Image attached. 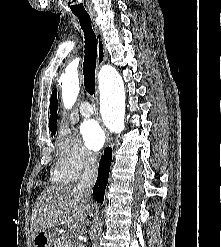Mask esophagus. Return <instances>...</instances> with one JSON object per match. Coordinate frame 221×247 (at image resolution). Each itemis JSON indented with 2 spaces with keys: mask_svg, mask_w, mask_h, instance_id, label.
I'll list each match as a JSON object with an SVG mask.
<instances>
[{
  "mask_svg": "<svg viewBox=\"0 0 221 247\" xmlns=\"http://www.w3.org/2000/svg\"><path fill=\"white\" fill-rule=\"evenodd\" d=\"M93 21H94V28H95L96 37H97V69H99L107 60V50H106V46L104 43L102 30L94 18H93ZM97 95H98V92H97ZM97 101H98V97H97ZM105 131H106V140L108 144L111 147H113V137L107 130Z\"/></svg>",
  "mask_w": 221,
  "mask_h": 247,
  "instance_id": "1",
  "label": "esophagus"
}]
</instances>
